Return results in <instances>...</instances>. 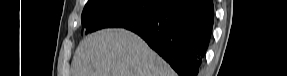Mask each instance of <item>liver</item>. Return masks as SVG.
<instances>
[{
    "instance_id": "1",
    "label": "liver",
    "mask_w": 287,
    "mask_h": 76,
    "mask_svg": "<svg viewBox=\"0 0 287 76\" xmlns=\"http://www.w3.org/2000/svg\"><path fill=\"white\" fill-rule=\"evenodd\" d=\"M73 76H176L138 35L104 29L86 36L72 60Z\"/></svg>"
}]
</instances>
